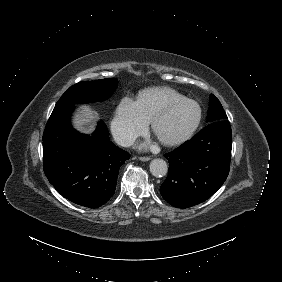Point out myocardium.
Wrapping results in <instances>:
<instances>
[{
	"label": "myocardium",
	"instance_id": "1",
	"mask_svg": "<svg viewBox=\"0 0 282 282\" xmlns=\"http://www.w3.org/2000/svg\"><path fill=\"white\" fill-rule=\"evenodd\" d=\"M187 103H193L197 107V115L194 118V120L186 127V129L183 132H181L176 137H173V138H170V139L161 137L158 133V126L162 122V120L171 111H173L174 109H176V108H178V107H180L184 104H187ZM201 118H202V111H201L200 106L195 101H193L189 98H186V97H182L178 100L171 101L160 112L157 113V115L154 117L153 122H152V129H153V132L155 133V135L161 141V143L168 145V146H175V145H179V144L185 142L186 140H188L191 137L193 132L199 126Z\"/></svg>",
	"mask_w": 282,
	"mask_h": 282
}]
</instances>
